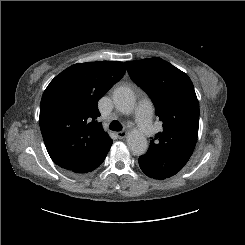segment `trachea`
<instances>
[{"label":"trachea","instance_id":"obj_1","mask_svg":"<svg viewBox=\"0 0 245 245\" xmlns=\"http://www.w3.org/2000/svg\"><path fill=\"white\" fill-rule=\"evenodd\" d=\"M109 128L113 131H121L122 125L118 121H112Z\"/></svg>","mask_w":245,"mask_h":245}]
</instances>
